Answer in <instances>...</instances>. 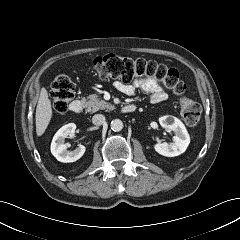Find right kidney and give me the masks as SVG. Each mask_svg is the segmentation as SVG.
I'll return each instance as SVG.
<instances>
[{"mask_svg":"<svg viewBox=\"0 0 240 240\" xmlns=\"http://www.w3.org/2000/svg\"><path fill=\"white\" fill-rule=\"evenodd\" d=\"M76 124L69 123L61 127L54 135L51 142V153L60 162L69 163L80 159L85 153V146L79 145L75 150H67L68 145L64 143L65 138L73 136Z\"/></svg>","mask_w":240,"mask_h":240,"instance_id":"ca27d5eb","label":"right kidney"}]
</instances>
